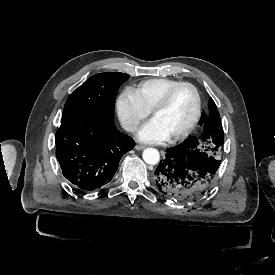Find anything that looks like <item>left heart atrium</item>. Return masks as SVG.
<instances>
[{
  "instance_id": "1",
  "label": "left heart atrium",
  "mask_w": 275,
  "mask_h": 275,
  "mask_svg": "<svg viewBox=\"0 0 275 275\" xmlns=\"http://www.w3.org/2000/svg\"><path fill=\"white\" fill-rule=\"evenodd\" d=\"M144 142H159L168 138L167 133L154 120L147 123L137 134Z\"/></svg>"
}]
</instances>
